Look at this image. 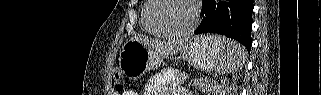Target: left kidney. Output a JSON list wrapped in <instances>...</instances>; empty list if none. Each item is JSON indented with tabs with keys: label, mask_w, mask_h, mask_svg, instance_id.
<instances>
[{
	"label": "left kidney",
	"mask_w": 321,
	"mask_h": 95,
	"mask_svg": "<svg viewBox=\"0 0 321 95\" xmlns=\"http://www.w3.org/2000/svg\"><path fill=\"white\" fill-rule=\"evenodd\" d=\"M216 95H229L230 91L228 88L222 86L217 89V92H215Z\"/></svg>",
	"instance_id": "5707ae66"
}]
</instances>
